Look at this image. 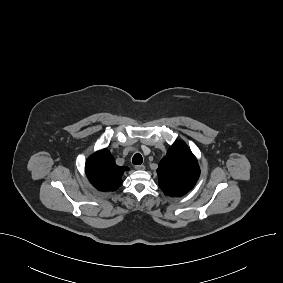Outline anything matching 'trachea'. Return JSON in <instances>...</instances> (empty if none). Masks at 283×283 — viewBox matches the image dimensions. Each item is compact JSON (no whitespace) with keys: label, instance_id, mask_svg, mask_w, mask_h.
Masks as SVG:
<instances>
[{"label":"trachea","instance_id":"1","mask_svg":"<svg viewBox=\"0 0 283 283\" xmlns=\"http://www.w3.org/2000/svg\"><path fill=\"white\" fill-rule=\"evenodd\" d=\"M143 162V158L139 153H136L132 158V163L136 165H140Z\"/></svg>","mask_w":283,"mask_h":283}]
</instances>
